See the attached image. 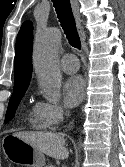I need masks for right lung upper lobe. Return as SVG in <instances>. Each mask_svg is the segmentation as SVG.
<instances>
[{
  "label": "right lung upper lobe",
  "mask_w": 125,
  "mask_h": 167,
  "mask_svg": "<svg viewBox=\"0 0 125 167\" xmlns=\"http://www.w3.org/2000/svg\"><path fill=\"white\" fill-rule=\"evenodd\" d=\"M32 22L26 21L22 24L17 35L15 50V79L14 91L27 89L32 75Z\"/></svg>",
  "instance_id": "cb5924a9"
}]
</instances>
